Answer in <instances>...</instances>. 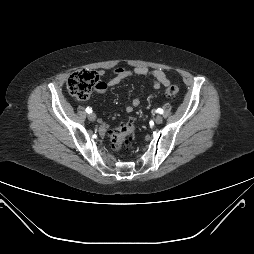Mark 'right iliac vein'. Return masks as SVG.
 Instances as JSON below:
<instances>
[{
    "label": "right iliac vein",
    "instance_id": "obj_1",
    "mask_svg": "<svg viewBox=\"0 0 254 254\" xmlns=\"http://www.w3.org/2000/svg\"><path fill=\"white\" fill-rule=\"evenodd\" d=\"M88 119H89L90 121H95V120H96V115H95L94 113H90V114L88 115Z\"/></svg>",
    "mask_w": 254,
    "mask_h": 254
}]
</instances>
